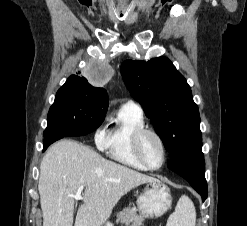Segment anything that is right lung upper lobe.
<instances>
[{
	"mask_svg": "<svg viewBox=\"0 0 247 226\" xmlns=\"http://www.w3.org/2000/svg\"><path fill=\"white\" fill-rule=\"evenodd\" d=\"M64 85L74 87L75 89H78L80 91L87 92L88 94H91L93 96H96L97 98L104 101L105 105H107L108 109V95L104 88L100 87H94L92 86L85 77L83 76H77V75H71L66 83Z\"/></svg>",
	"mask_w": 247,
	"mask_h": 226,
	"instance_id": "right-lung-upper-lobe-1",
	"label": "right lung upper lobe"
}]
</instances>
